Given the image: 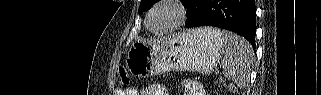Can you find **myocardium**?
Instances as JSON below:
<instances>
[{
  "mask_svg": "<svg viewBox=\"0 0 321 95\" xmlns=\"http://www.w3.org/2000/svg\"><path fill=\"white\" fill-rule=\"evenodd\" d=\"M163 7H170L172 8L174 12V18L173 21L170 25L167 27L161 29V30H156L151 27L150 23L151 20L159 9ZM187 18V11L186 8L184 7L182 1L180 0H159L157 1L147 12L146 14V19H145V27L146 29L155 34V35H164V34H169L174 31H176L186 20Z\"/></svg>",
  "mask_w": 321,
  "mask_h": 95,
  "instance_id": "f54148a6",
  "label": "myocardium"
}]
</instances>
